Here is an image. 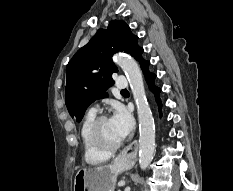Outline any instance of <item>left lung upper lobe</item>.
<instances>
[{"mask_svg": "<svg viewBox=\"0 0 233 191\" xmlns=\"http://www.w3.org/2000/svg\"><path fill=\"white\" fill-rule=\"evenodd\" d=\"M137 39L124 21L113 20L76 52L66 68L65 103L72 117L80 121L92 102L107 97L111 75L118 71L111 60L114 53L121 51L143 60Z\"/></svg>", "mask_w": 233, "mask_h": 191, "instance_id": "1", "label": "left lung upper lobe"}]
</instances>
